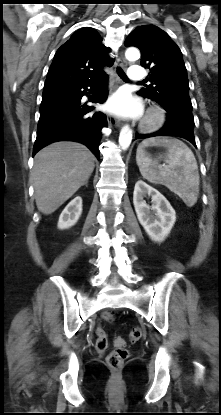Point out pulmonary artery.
<instances>
[{"mask_svg":"<svg viewBox=\"0 0 221 415\" xmlns=\"http://www.w3.org/2000/svg\"><path fill=\"white\" fill-rule=\"evenodd\" d=\"M145 73L142 67L133 65L129 68L128 77L131 81H140L144 78Z\"/></svg>","mask_w":221,"mask_h":415,"instance_id":"obj_1","label":"pulmonary artery"}]
</instances>
